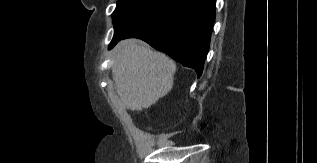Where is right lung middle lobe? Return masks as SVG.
I'll use <instances>...</instances> for the list:
<instances>
[{
    "mask_svg": "<svg viewBox=\"0 0 317 163\" xmlns=\"http://www.w3.org/2000/svg\"><path fill=\"white\" fill-rule=\"evenodd\" d=\"M175 0H118L113 12L111 42L144 26L162 14Z\"/></svg>",
    "mask_w": 317,
    "mask_h": 163,
    "instance_id": "1",
    "label": "right lung middle lobe"
}]
</instances>
